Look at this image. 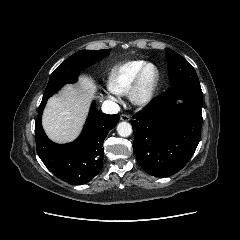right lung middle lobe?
Segmentation results:
<instances>
[{
    "instance_id": "dd1d6c3e",
    "label": "right lung middle lobe",
    "mask_w": 240,
    "mask_h": 240,
    "mask_svg": "<svg viewBox=\"0 0 240 240\" xmlns=\"http://www.w3.org/2000/svg\"><path fill=\"white\" fill-rule=\"evenodd\" d=\"M109 50H80L63 61L51 74L43 97H50L64 84L74 83L80 71L108 56Z\"/></svg>"
}]
</instances>
